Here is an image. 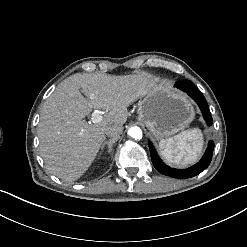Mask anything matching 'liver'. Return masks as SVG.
Returning a JSON list of instances; mask_svg holds the SVG:
<instances>
[{"label": "liver", "mask_w": 247, "mask_h": 247, "mask_svg": "<svg viewBox=\"0 0 247 247\" xmlns=\"http://www.w3.org/2000/svg\"><path fill=\"white\" fill-rule=\"evenodd\" d=\"M158 81L147 71L118 76L77 73L63 80L44 102L37 128L47 171L66 182L76 180L94 160L105 128L125 123L127 107ZM92 109L108 113L101 122L90 124L84 117Z\"/></svg>", "instance_id": "1"}]
</instances>
